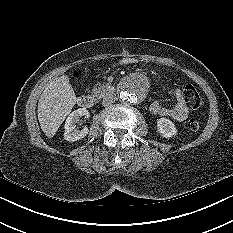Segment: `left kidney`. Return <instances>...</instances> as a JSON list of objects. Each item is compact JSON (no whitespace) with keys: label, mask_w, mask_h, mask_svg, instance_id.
I'll return each instance as SVG.
<instances>
[{"label":"left kidney","mask_w":233,"mask_h":233,"mask_svg":"<svg viewBox=\"0 0 233 233\" xmlns=\"http://www.w3.org/2000/svg\"><path fill=\"white\" fill-rule=\"evenodd\" d=\"M157 129L164 138H171L177 134L174 123L167 118H160L157 120Z\"/></svg>","instance_id":"obj_1"}]
</instances>
